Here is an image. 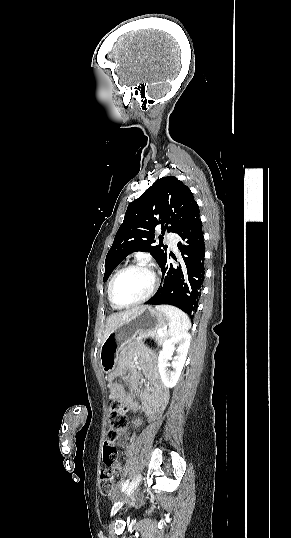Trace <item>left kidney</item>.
<instances>
[{"label":"left kidney","mask_w":291,"mask_h":538,"mask_svg":"<svg viewBox=\"0 0 291 538\" xmlns=\"http://www.w3.org/2000/svg\"><path fill=\"white\" fill-rule=\"evenodd\" d=\"M190 339V334L184 332L164 341L158 357V367L162 382L166 387L172 388L176 385L187 357ZM174 351H176V355L172 358ZM168 359H173L172 371L167 369Z\"/></svg>","instance_id":"5707ae66"}]
</instances>
